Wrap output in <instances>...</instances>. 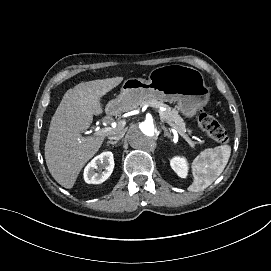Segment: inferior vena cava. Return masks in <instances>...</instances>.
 <instances>
[{
	"mask_svg": "<svg viewBox=\"0 0 271 271\" xmlns=\"http://www.w3.org/2000/svg\"><path fill=\"white\" fill-rule=\"evenodd\" d=\"M124 134L125 131L122 128H118L114 132H111V136H109V139L118 141L124 136Z\"/></svg>",
	"mask_w": 271,
	"mask_h": 271,
	"instance_id": "1",
	"label": "inferior vena cava"
}]
</instances>
